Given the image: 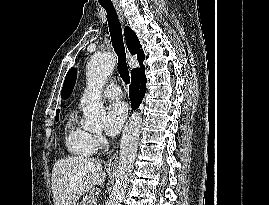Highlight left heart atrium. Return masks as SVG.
<instances>
[{
    "instance_id": "left-heart-atrium-1",
    "label": "left heart atrium",
    "mask_w": 269,
    "mask_h": 205,
    "mask_svg": "<svg viewBox=\"0 0 269 205\" xmlns=\"http://www.w3.org/2000/svg\"><path fill=\"white\" fill-rule=\"evenodd\" d=\"M128 115V106L123 101H115L107 108L106 132L116 136L122 129Z\"/></svg>"
}]
</instances>
